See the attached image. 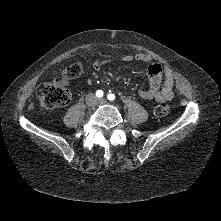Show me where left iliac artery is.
Returning a JSON list of instances; mask_svg holds the SVG:
<instances>
[{"label":"left iliac artery","instance_id":"44dca946","mask_svg":"<svg viewBox=\"0 0 221 221\" xmlns=\"http://www.w3.org/2000/svg\"><path fill=\"white\" fill-rule=\"evenodd\" d=\"M107 98H108V100H114L115 99V95L114 94H112V93H110V94H108L107 95Z\"/></svg>","mask_w":221,"mask_h":221}]
</instances>
